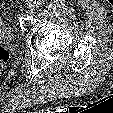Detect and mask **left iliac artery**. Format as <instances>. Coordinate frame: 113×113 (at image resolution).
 Wrapping results in <instances>:
<instances>
[{
  "label": "left iliac artery",
  "mask_w": 113,
  "mask_h": 113,
  "mask_svg": "<svg viewBox=\"0 0 113 113\" xmlns=\"http://www.w3.org/2000/svg\"><path fill=\"white\" fill-rule=\"evenodd\" d=\"M35 7L39 8L42 6V1L41 0H35L34 2Z\"/></svg>",
  "instance_id": "left-iliac-artery-1"
}]
</instances>
